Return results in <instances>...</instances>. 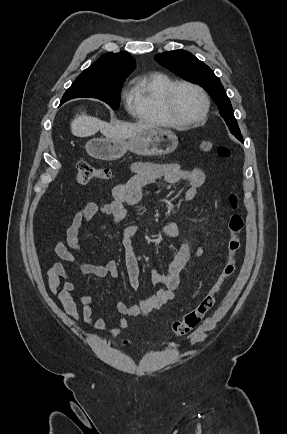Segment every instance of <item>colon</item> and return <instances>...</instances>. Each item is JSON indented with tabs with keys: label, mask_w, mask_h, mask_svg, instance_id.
<instances>
[{
	"label": "colon",
	"mask_w": 287,
	"mask_h": 434,
	"mask_svg": "<svg viewBox=\"0 0 287 434\" xmlns=\"http://www.w3.org/2000/svg\"><path fill=\"white\" fill-rule=\"evenodd\" d=\"M200 150L204 153L217 151L220 155L227 156L229 151L225 147L216 148L212 141H202ZM111 174L109 168L95 166L87 162H80L77 165V182L87 184L94 179H108ZM231 213L229 215V238L228 250L229 259L220 277L211 287L210 291L200 300L198 305L184 317L176 321L172 326L173 336L176 338L185 337L195 329L204 319L206 314L212 310L216 302V296L223 288L224 284L234 274L237 264V256L242 249L241 234L244 229V219L240 211V200L237 193L232 192L229 197Z\"/></svg>",
	"instance_id": "colon-1"
}]
</instances>
